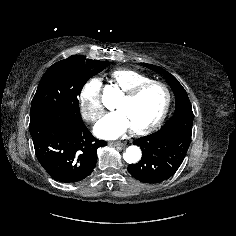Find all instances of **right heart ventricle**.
<instances>
[{
  "label": "right heart ventricle",
  "mask_w": 236,
  "mask_h": 236,
  "mask_svg": "<svg viewBox=\"0 0 236 236\" xmlns=\"http://www.w3.org/2000/svg\"><path fill=\"white\" fill-rule=\"evenodd\" d=\"M110 82L119 88L123 93L131 90L135 86L152 80L151 77L146 74L128 68H119L113 70L109 74Z\"/></svg>",
  "instance_id": "right-heart-ventricle-1"
}]
</instances>
